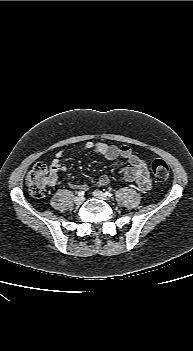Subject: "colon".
I'll use <instances>...</instances> for the list:
<instances>
[{"label": "colon", "instance_id": "obj_1", "mask_svg": "<svg viewBox=\"0 0 193 351\" xmlns=\"http://www.w3.org/2000/svg\"><path fill=\"white\" fill-rule=\"evenodd\" d=\"M151 171L158 181H165L170 175L167 163L162 159H155L151 163ZM49 179V168L45 163H37L27 175L26 183L32 196L42 198L46 193Z\"/></svg>", "mask_w": 193, "mask_h": 351}]
</instances>
